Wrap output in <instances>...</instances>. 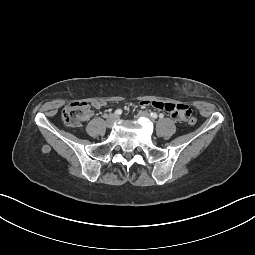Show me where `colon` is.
I'll return each mask as SVG.
<instances>
[{
	"instance_id": "colon-1",
	"label": "colon",
	"mask_w": 255,
	"mask_h": 255,
	"mask_svg": "<svg viewBox=\"0 0 255 255\" xmlns=\"http://www.w3.org/2000/svg\"><path fill=\"white\" fill-rule=\"evenodd\" d=\"M92 107L93 106L87 102H72L66 105L62 110L61 119L67 127H78L90 114ZM182 120H186L190 125H194L197 121L193 116Z\"/></svg>"
}]
</instances>
